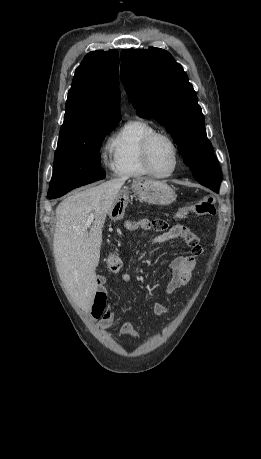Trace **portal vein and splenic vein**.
Segmentation results:
<instances>
[{"instance_id": "portal-vein-and-splenic-vein-1", "label": "portal vein and splenic vein", "mask_w": 261, "mask_h": 459, "mask_svg": "<svg viewBox=\"0 0 261 459\" xmlns=\"http://www.w3.org/2000/svg\"><path fill=\"white\" fill-rule=\"evenodd\" d=\"M94 215L91 214L87 217V220H86V226L89 227L91 225V223L94 221Z\"/></svg>"}]
</instances>
